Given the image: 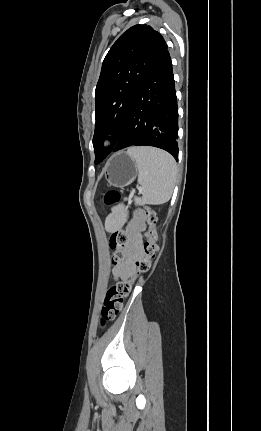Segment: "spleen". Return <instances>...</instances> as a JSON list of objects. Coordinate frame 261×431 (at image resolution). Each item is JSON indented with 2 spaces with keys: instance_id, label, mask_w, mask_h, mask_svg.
Returning a JSON list of instances; mask_svg holds the SVG:
<instances>
[{
  "instance_id": "3e777b00",
  "label": "spleen",
  "mask_w": 261,
  "mask_h": 431,
  "mask_svg": "<svg viewBox=\"0 0 261 431\" xmlns=\"http://www.w3.org/2000/svg\"><path fill=\"white\" fill-rule=\"evenodd\" d=\"M127 154L137 164L138 183L142 186V197L135 198V203H166L172 195L176 181L177 167L174 158L163 150L151 147H131ZM121 208L119 206L117 210Z\"/></svg>"
}]
</instances>
